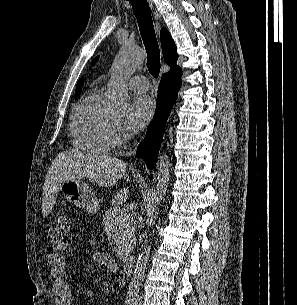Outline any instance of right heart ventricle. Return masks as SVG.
Returning <instances> with one entry per match:
<instances>
[{
    "mask_svg": "<svg viewBox=\"0 0 297 305\" xmlns=\"http://www.w3.org/2000/svg\"><path fill=\"white\" fill-rule=\"evenodd\" d=\"M100 90H94L75 107L70 125L71 141L75 148L92 153L107 154L110 118L102 108Z\"/></svg>",
    "mask_w": 297,
    "mask_h": 305,
    "instance_id": "right-heart-ventricle-1",
    "label": "right heart ventricle"
}]
</instances>
